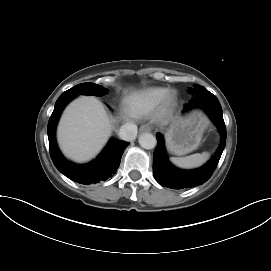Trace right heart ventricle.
<instances>
[{
	"mask_svg": "<svg viewBox=\"0 0 271 271\" xmlns=\"http://www.w3.org/2000/svg\"><path fill=\"white\" fill-rule=\"evenodd\" d=\"M167 91L157 86L136 91L125 99L126 110L133 116L146 115L157 107Z\"/></svg>",
	"mask_w": 271,
	"mask_h": 271,
	"instance_id": "1",
	"label": "right heart ventricle"
}]
</instances>
